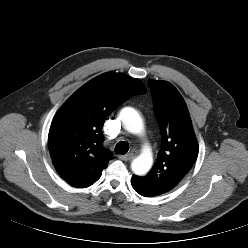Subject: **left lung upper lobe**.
Instances as JSON below:
<instances>
[{
    "label": "left lung upper lobe",
    "instance_id": "5c2ea615",
    "mask_svg": "<svg viewBox=\"0 0 248 248\" xmlns=\"http://www.w3.org/2000/svg\"><path fill=\"white\" fill-rule=\"evenodd\" d=\"M154 111L161 131V148L146 176L131 182L152 196L175 188L189 173L198 156V144L186 103L169 82L149 80Z\"/></svg>",
    "mask_w": 248,
    "mask_h": 248
}]
</instances>
